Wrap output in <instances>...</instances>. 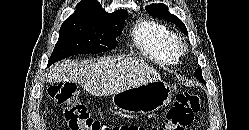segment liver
<instances>
[{"instance_id":"6515ba94","label":"liver","mask_w":249,"mask_h":130,"mask_svg":"<svg viewBox=\"0 0 249 130\" xmlns=\"http://www.w3.org/2000/svg\"><path fill=\"white\" fill-rule=\"evenodd\" d=\"M160 79L159 73L149 64L127 57L57 63L46 81L78 83L91 95L108 96Z\"/></svg>"}]
</instances>
